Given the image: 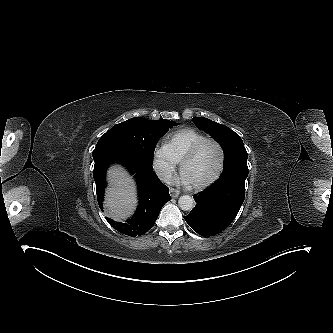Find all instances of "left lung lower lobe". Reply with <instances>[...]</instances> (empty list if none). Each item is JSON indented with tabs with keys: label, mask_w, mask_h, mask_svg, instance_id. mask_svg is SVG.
Instances as JSON below:
<instances>
[{
	"label": "left lung lower lobe",
	"mask_w": 333,
	"mask_h": 333,
	"mask_svg": "<svg viewBox=\"0 0 333 333\" xmlns=\"http://www.w3.org/2000/svg\"><path fill=\"white\" fill-rule=\"evenodd\" d=\"M196 206L184 217L199 235L209 237L225 230L235 219L245 197V184L215 181L193 196Z\"/></svg>",
	"instance_id": "obj_1"
}]
</instances>
